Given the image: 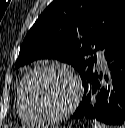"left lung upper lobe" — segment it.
Returning <instances> with one entry per match:
<instances>
[{"mask_svg":"<svg viewBox=\"0 0 125 128\" xmlns=\"http://www.w3.org/2000/svg\"><path fill=\"white\" fill-rule=\"evenodd\" d=\"M124 27V0H55L27 33L16 67L58 59L71 64L83 82L96 69L95 52L104 50Z\"/></svg>","mask_w":125,"mask_h":128,"instance_id":"left-lung-upper-lobe-1","label":"left lung upper lobe"}]
</instances>
